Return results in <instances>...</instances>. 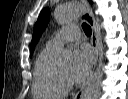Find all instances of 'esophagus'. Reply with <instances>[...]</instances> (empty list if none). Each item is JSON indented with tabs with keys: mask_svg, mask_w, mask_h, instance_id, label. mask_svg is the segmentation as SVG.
Wrapping results in <instances>:
<instances>
[{
	"mask_svg": "<svg viewBox=\"0 0 128 99\" xmlns=\"http://www.w3.org/2000/svg\"><path fill=\"white\" fill-rule=\"evenodd\" d=\"M81 2L84 4V7H85V10L82 15V20L85 21L92 29L91 45H92L93 52H94V57H93L92 66H91V72H92L94 70L97 60H98V51H99L98 34H97V30H96V24H95L91 9L88 6L87 1L81 0ZM84 89H85V85H83L80 88V90L76 93V95L74 96V99H82Z\"/></svg>",
	"mask_w": 128,
	"mask_h": 99,
	"instance_id": "esophagus-1",
	"label": "esophagus"
}]
</instances>
